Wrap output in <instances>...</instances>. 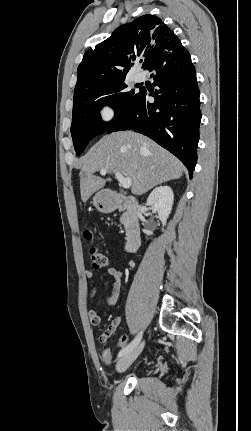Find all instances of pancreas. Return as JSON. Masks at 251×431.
<instances>
[{"instance_id":"1","label":"pancreas","mask_w":251,"mask_h":431,"mask_svg":"<svg viewBox=\"0 0 251 431\" xmlns=\"http://www.w3.org/2000/svg\"><path fill=\"white\" fill-rule=\"evenodd\" d=\"M120 221H121V223H122V224H124V216H122V217L120 218Z\"/></svg>"}]
</instances>
